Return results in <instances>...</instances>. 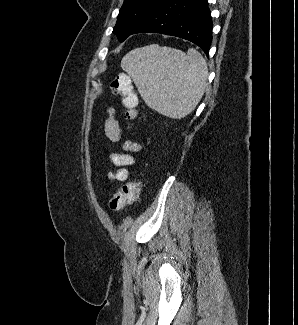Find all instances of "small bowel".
Here are the masks:
<instances>
[{
  "label": "small bowel",
  "instance_id": "1",
  "mask_svg": "<svg viewBox=\"0 0 298 325\" xmlns=\"http://www.w3.org/2000/svg\"><path fill=\"white\" fill-rule=\"evenodd\" d=\"M104 127L106 136L111 141L119 142L122 140L121 128L115 117L114 108L108 110V117L105 121ZM124 148L126 151L135 152L141 148V144L132 141H125ZM111 161L116 169L108 174V178L111 180L125 181L129 176L127 167L134 163V158L128 153H115L111 155Z\"/></svg>",
  "mask_w": 298,
  "mask_h": 325
}]
</instances>
